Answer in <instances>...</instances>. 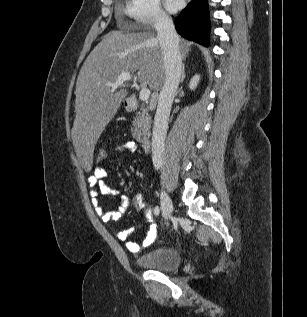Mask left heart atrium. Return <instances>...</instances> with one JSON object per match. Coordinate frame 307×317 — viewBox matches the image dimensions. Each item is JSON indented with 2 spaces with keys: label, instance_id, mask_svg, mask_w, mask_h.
Returning <instances> with one entry per match:
<instances>
[{
  "label": "left heart atrium",
  "instance_id": "39dd6f15",
  "mask_svg": "<svg viewBox=\"0 0 307 317\" xmlns=\"http://www.w3.org/2000/svg\"><path fill=\"white\" fill-rule=\"evenodd\" d=\"M165 7L170 12L179 10L183 5V0H164Z\"/></svg>",
  "mask_w": 307,
  "mask_h": 317
}]
</instances>
